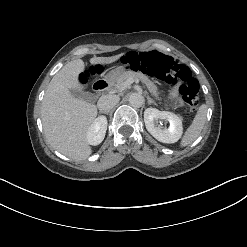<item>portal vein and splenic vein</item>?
Wrapping results in <instances>:
<instances>
[{"instance_id":"obj_1","label":"portal vein and splenic vein","mask_w":247,"mask_h":247,"mask_svg":"<svg viewBox=\"0 0 247 247\" xmlns=\"http://www.w3.org/2000/svg\"><path fill=\"white\" fill-rule=\"evenodd\" d=\"M133 82V79H128L120 90H124L128 85L132 84Z\"/></svg>"}]
</instances>
